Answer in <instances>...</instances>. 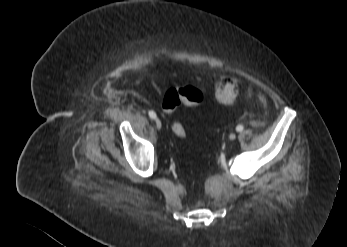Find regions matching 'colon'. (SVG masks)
<instances>
[{
	"mask_svg": "<svg viewBox=\"0 0 347 247\" xmlns=\"http://www.w3.org/2000/svg\"><path fill=\"white\" fill-rule=\"evenodd\" d=\"M237 96V86L230 79H222L215 86L214 99L224 105L232 104ZM204 101L202 92L194 86L187 85L170 89L164 96L162 107L168 114L174 113L180 106H196ZM260 104L263 98L258 96ZM173 134L179 139L186 138V129L179 121L171 123Z\"/></svg>",
	"mask_w": 347,
	"mask_h": 247,
	"instance_id": "1",
	"label": "colon"
}]
</instances>
